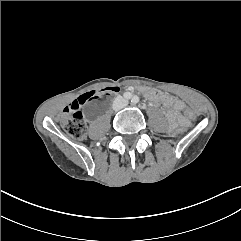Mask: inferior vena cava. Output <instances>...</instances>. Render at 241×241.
<instances>
[{
    "label": "inferior vena cava",
    "mask_w": 241,
    "mask_h": 241,
    "mask_svg": "<svg viewBox=\"0 0 241 241\" xmlns=\"http://www.w3.org/2000/svg\"><path fill=\"white\" fill-rule=\"evenodd\" d=\"M127 105H128V100H126L122 96H117L113 102L112 108L113 110L118 111Z\"/></svg>",
    "instance_id": "1"
}]
</instances>
